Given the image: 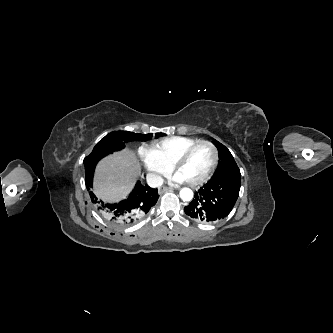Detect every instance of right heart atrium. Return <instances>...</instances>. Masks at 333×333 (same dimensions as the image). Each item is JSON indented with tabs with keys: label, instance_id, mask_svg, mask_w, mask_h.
<instances>
[{
	"label": "right heart atrium",
	"instance_id": "obj_1",
	"mask_svg": "<svg viewBox=\"0 0 333 333\" xmlns=\"http://www.w3.org/2000/svg\"><path fill=\"white\" fill-rule=\"evenodd\" d=\"M138 155L150 181L157 183L169 173V168L162 163L152 149L141 147Z\"/></svg>",
	"mask_w": 333,
	"mask_h": 333
}]
</instances>
